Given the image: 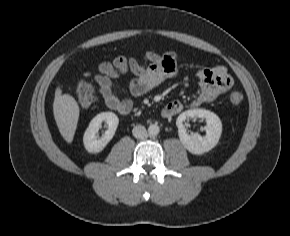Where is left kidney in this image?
I'll return each instance as SVG.
<instances>
[{
  "label": "left kidney",
  "instance_id": "1",
  "mask_svg": "<svg viewBox=\"0 0 290 236\" xmlns=\"http://www.w3.org/2000/svg\"><path fill=\"white\" fill-rule=\"evenodd\" d=\"M202 118L205 119L206 136L202 137L198 133L188 134L184 122L188 119ZM178 135L181 143L192 154L200 155L210 151L216 146L222 133V123L219 117L205 109H190L181 113L176 121Z\"/></svg>",
  "mask_w": 290,
  "mask_h": 236
}]
</instances>
